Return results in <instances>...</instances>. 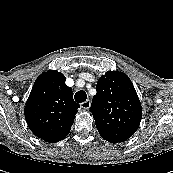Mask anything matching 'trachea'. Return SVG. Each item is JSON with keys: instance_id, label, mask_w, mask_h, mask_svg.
I'll list each match as a JSON object with an SVG mask.
<instances>
[{"instance_id": "trachea-1", "label": "trachea", "mask_w": 173, "mask_h": 173, "mask_svg": "<svg viewBox=\"0 0 173 173\" xmlns=\"http://www.w3.org/2000/svg\"><path fill=\"white\" fill-rule=\"evenodd\" d=\"M74 98H75V101H76L77 103H82V102L86 101V99H87V94H86L85 91L80 90V91H78V92L75 93Z\"/></svg>"}]
</instances>
